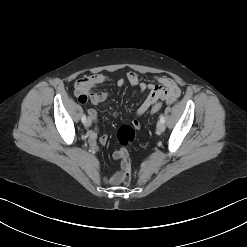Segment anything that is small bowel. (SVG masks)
Listing matches in <instances>:
<instances>
[{
	"label": "small bowel",
	"mask_w": 247,
	"mask_h": 247,
	"mask_svg": "<svg viewBox=\"0 0 247 247\" xmlns=\"http://www.w3.org/2000/svg\"><path fill=\"white\" fill-rule=\"evenodd\" d=\"M107 80L108 77L103 74H91L78 79L75 83V95L79 102L87 103L90 101L94 105L104 102L108 98V93L105 91L95 92L93 91V88ZM127 80L132 86L137 87L141 92L148 91L147 97L137 109L138 116L145 114L148 109L159 100H164L166 103L172 104L180 96V88L177 83L173 79L166 76L157 77V84H147L143 82L136 73L129 72L127 75ZM124 84L125 80L123 78L117 80V85L119 87H122ZM88 114L93 120L97 117V113L94 109H89ZM89 136L91 139H96L97 132L90 131ZM98 139L100 143L106 144L108 141V136L103 134ZM114 158L120 159L118 151L114 153ZM121 175V172L116 173L111 178H108L107 181L111 184H119L121 181Z\"/></svg>",
	"instance_id": "1"
}]
</instances>
